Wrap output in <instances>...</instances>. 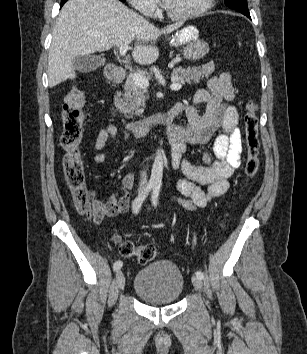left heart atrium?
Masks as SVG:
<instances>
[{
  "instance_id": "obj_1",
  "label": "left heart atrium",
  "mask_w": 307,
  "mask_h": 354,
  "mask_svg": "<svg viewBox=\"0 0 307 354\" xmlns=\"http://www.w3.org/2000/svg\"><path fill=\"white\" fill-rule=\"evenodd\" d=\"M167 2H168V0H163V3L166 5L167 4Z\"/></svg>"
}]
</instances>
